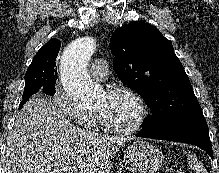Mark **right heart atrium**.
Instances as JSON below:
<instances>
[{"label": "right heart atrium", "instance_id": "obj_1", "mask_svg": "<svg viewBox=\"0 0 219 173\" xmlns=\"http://www.w3.org/2000/svg\"><path fill=\"white\" fill-rule=\"evenodd\" d=\"M52 104L61 114L81 127L91 128L95 125V115L78 106L64 91L61 84H56L53 89Z\"/></svg>", "mask_w": 219, "mask_h": 173}]
</instances>
